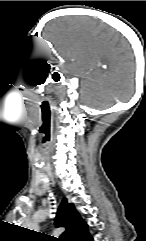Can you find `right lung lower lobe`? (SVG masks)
<instances>
[{
  "label": "right lung lower lobe",
  "instance_id": "right-lung-lower-lobe-1",
  "mask_svg": "<svg viewBox=\"0 0 146 241\" xmlns=\"http://www.w3.org/2000/svg\"><path fill=\"white\" fill-rule=\"evenodd\" d=\"M87 241H93V238L90 236L89 239H87Z\"/></svg>",
  "mask_w": 146,
  "mask_h": 241
}]
</instances>
